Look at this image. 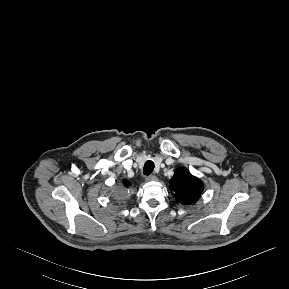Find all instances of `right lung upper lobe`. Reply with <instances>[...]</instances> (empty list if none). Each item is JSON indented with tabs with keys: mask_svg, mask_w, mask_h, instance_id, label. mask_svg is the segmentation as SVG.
Here are the masks:
<instances>
[{
	"mask_svg": "<svg viewBox=\"0 0 289 289\" xmlns=\"http://www.w3.org/2000/svg\"><path fill=\"white\" fill-rule=\"evenodd\" d=\"M124 184H125V185H127V184H128V182L125 180V181H124Z\"/></svg>",
	"mask_w": 289,
	"mask_h": 289,
	"instance_id": "right-lung-upper-lobe-1",
	"label": "right lung upper lobe"
}]
</instances>
